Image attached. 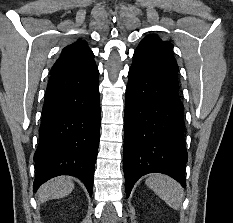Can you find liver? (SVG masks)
I'll return each mask as SVG.
<instances>
[{"mask_svg":"<svg viewBox=\"0 0 233 223\" xmlns=\"http://www.w3.org/2000/svg\"><path fill=\"white\" fill-rule=\"evenodd\" d=\"M74 183L71 177H55L47 183H43L38 189V197L40 201H48V199H59L66 197L73 191Z\"/></svg>","mask_w":233,"mask_h":223,"instance_id":"1","label":"liver"}]
</instances>
